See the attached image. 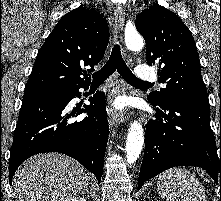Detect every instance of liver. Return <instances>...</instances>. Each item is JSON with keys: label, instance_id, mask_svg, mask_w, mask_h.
<instances>
[{"label": "liver", "instance_id": "obj_1", "mask_svg": "<svg viewBox=\"0 0 221 201\" xmlns=\"http://www.w3.org/2000/svg\"><path fill=\"white\" fill-rule=\"evenodd\" d=\"M90 175L76 160L59 153L38 154L13 177L16 201H68L88 190Z\"/></svg>", "mask_w": 221, "mask_h": 201}]
</instances>
